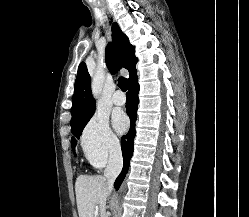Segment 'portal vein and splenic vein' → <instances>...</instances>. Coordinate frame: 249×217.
Segmentation results:
<instances>
[{
	"label": "portal vein and splenic vein",
	"mask_w": 249,
	"mask_h": 217,
	"mask_svg": "<svg viewBox=\"0 0 249 217\" xmlns=\"http://www.w3.org/2000/svg\"><path fill=\"white\" fill-rule=\"evenodd\" d=\"M97 212H98V208H96L95 214H97Z\"/></svg>",
	"instance_id": "1"
}]
</instances>
